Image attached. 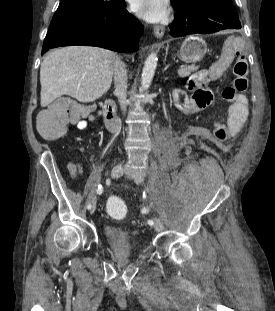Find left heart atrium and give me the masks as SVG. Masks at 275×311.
<instances>
[{"instance_id": "left-heart-atrium-1", "label": "left heart atrium", "mask_w": 275, "mask_h": 311, "mask_svg": "<svg viewBox=\"0 0 275 311\" xmlns=\"http://www.w3.org/2000/svg\"><path fill=\"white\" fill-rule=\"evenodd\" d=\"M132 10L151 23L164 22L168 17L167 0H131Z\"/></svg>"}]
</instances>
